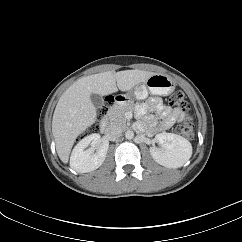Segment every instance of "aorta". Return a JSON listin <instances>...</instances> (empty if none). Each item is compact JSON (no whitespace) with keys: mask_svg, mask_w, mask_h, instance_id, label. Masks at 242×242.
<instances>
[{"mask_svg":"<svg viewBox=\"0 0 242 242\" xmlns=\"http://www.w3.org/2000/svg\"><path fill=\"white\" fill-rule=\"evenodd\" d=\"M125 138L126 139H133L134 138V132L132 131V130H127L126 132H125Z\"/></svg>","mask_w":242,"mask_h":242,"instance_id":"762f6f07","label":"aorta"}]
</instances>
